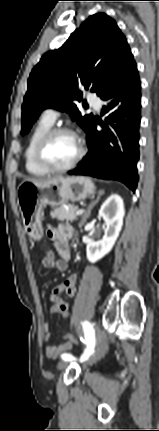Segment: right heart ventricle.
I'll list each match as a JSON object with an SVG mask.
<instances>
[{
	"label": "right heart ventricle",
	"instance_id": "right-heart-ventricle-1",
	"mask_svg": "<svg viewBox=\"0 0 159 431\" xmlns=\"http://www.w3.org/2000/svg\"><path fill=\"white\" fill-rule=\"evenodd\" d=\"M53 123L44 117L37 123L28 137L27 144L24 151V161L26 171L36 177L44 176L48 172L41 168L35 160V147L39 139L52 128Z\"/></svg>",
	"mask_w": 159,
	"mask_h": 431
}]
</instances>
